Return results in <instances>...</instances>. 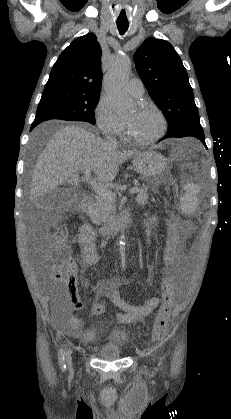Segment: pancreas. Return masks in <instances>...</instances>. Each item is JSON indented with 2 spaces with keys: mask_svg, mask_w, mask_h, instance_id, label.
I'll use <instances>...</instances> for the list:
<instances>
[{
  "mask_svg": "<svg viewBox=\"0 0 231 419\" xmlns=\"http://www.w3.org/2000/svg\"><path fill=\"white\" fill-rule=\"evenodd\" d=\"M136 202L141 206L148 204V193L146 187L139 189ZM115 212V200H109L101 196H96L94 202L87 209V214L96 225H103L111 222L114 218Z\"/></svg>",
  "mask_w": 231,
  "mask_h": 419,
  "instance_id": "pancreas-1",
  "label": "pancreas"
}]
</instances>
